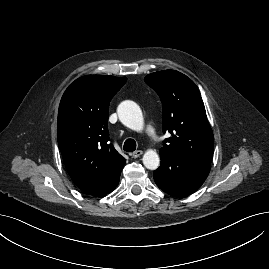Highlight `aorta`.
Listing matches in <instances>:
<instances>
[{"label": "aorta", "instance_id": "1", "mask_svg": "<svg viewBox=\"0 0 269 269\" xmlns=\"http://www.w3.org/2000/svg\"><path fill=\"white\" fill-rule=\"evenodd\" d=\"M120 121L128 128L139 131L143 128L144 119L140 107L133 101H123L118 106ZM143 164L149 170H156L160 164V158L156 151L147 150L143 155Z\"/></svg>", "mask_w": 269, "mask_h": 269}]
</instances>
